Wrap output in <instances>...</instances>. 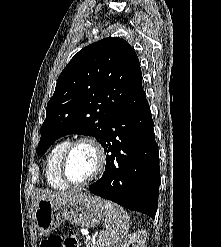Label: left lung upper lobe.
Wrapping results in <instances>:
<instances>
[{"mask_svg": "<svg viewBox=\"0 0 221 247\" xmlns=\"http://www.w3.org/2000/svg\"><path fill=\"white\" fill-rule=\"evenodd\" d=\"M146 102L139 59L129 43L109 37L90 44L58 77L36 153L68 134L93 136L103 145L110 121Z\"/></svg>", "mask_w": 221, "mask_h": 247, "instance_id": "1", "label": "left lung upper lobe"}]
</instances>
